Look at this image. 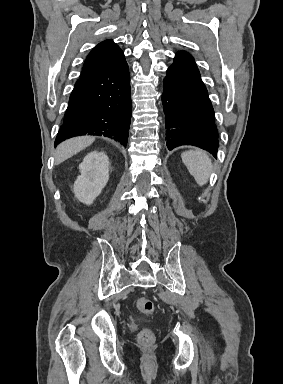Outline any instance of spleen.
<instances>
[{"label":"spleen","instance_id":"3e777b00","mask_svg":"<svg viewBox=\"0 0 283 384\" xmlns=\"http://www.w3.org/2000/svg\"><path fill=\"white\" fill-rule=\"evenodd\" d=\"M181 158L197 184L199 186L207 184L212 172V162L206 152H203V150H195V152L189 150V152H183Z\"/></svg>","mask_w":283,"mask_h":384}]
</instances>
